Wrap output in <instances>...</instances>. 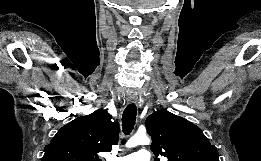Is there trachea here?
<instances>
[{
    "label": "trachea",
    "instance_id": "3493384b",
    "mask_svg": "<svg viewBox=\"0 0 261 161\" xmlns=\"http://www.w3.org/2000/svg\"><path fill=\"white\" fill-rule=\"evenodd\" d=\"M137 115V107L134 103L129 104L122 115V128L125 135H129L134 129Z\"/></svg>",
    "mask_w": 261,
    "mask_h": 161
}]
</instances>
